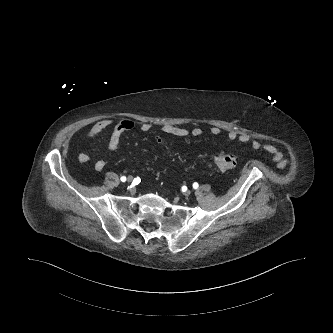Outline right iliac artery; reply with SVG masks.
<instances>
[{"mask_svg": "<svg viewBox=\"0 0 333 333\" xmlns=\"http://www.w3.org/2000/svg\"><path fill=\"white\" fill-rule=\"evenodd\" d=\"M121 181H122V182H125V181H126V177H125V176H122V177H121Z\"/></svg>", "mask_w": 333, "mask_h": 333, "instance_id": "82829eb1", "label": "right iliac artery"}]
</instances>
